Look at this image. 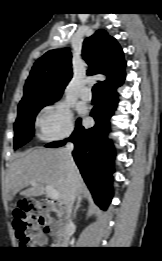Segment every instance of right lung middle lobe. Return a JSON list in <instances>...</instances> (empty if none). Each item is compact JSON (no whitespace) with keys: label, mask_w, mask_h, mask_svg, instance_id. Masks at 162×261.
I'll list each match as a JSON object with an SVG mask.
<instances>
[{"label":"right lung middle lobe","mask_w":162,"mask_h":261,"mask_svg":"<svg viewBox=\"0 0 162 261\" xmlns=\"http://www.w3.org/2000/svg\"><path fill=\"white\" fill-rule=\"evenodd\" d=\"M60 96H35L20 101L18 116L14 124V148L17 149L27 143L34 133V120L37 113L46 105L57 101Z\"/></svg>","instance_id":"1"}]
</instances>
